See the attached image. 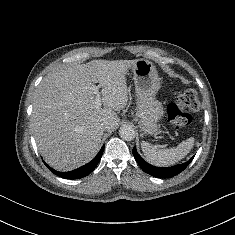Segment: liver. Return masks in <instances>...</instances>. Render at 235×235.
<instances>
[{
  "instance_id": "6515ba94",
  "label": "liver",
  "mask_w": 235,
  "mask_h": 235,
  "mask_svg": "<svg viewBox=\"0 0 235 235\" xmlns=\"http://www.w3.org/2000/svg\"><path fill=\"white\" fill-rule=\"evenodd\" d=\"M137 60H92L64 66L47 74L38 85L31 125L45 161L59 171H70L97 154L104 129L117 128L115 111L127 105L126 75ZM98 83L104 108L95 104Z\"/></svg>"
}]
</instances>
